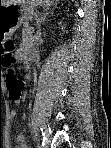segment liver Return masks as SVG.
I'll return each mask as SVG.
<instances>
[{"label":"liver","mask_w":111,"mask_h":148,"mask_svg":"<svg viewBox=\"0 0 111 148\" xmlns=\"http://www.w3.org/2000/svg\"><path fill=\"white\" fill-rule=\"evenodd\" d=\"M21 0H3L2 5H16L20 4Z\"/></svg>","instance_id":"6515ba94"}]
</instances>
